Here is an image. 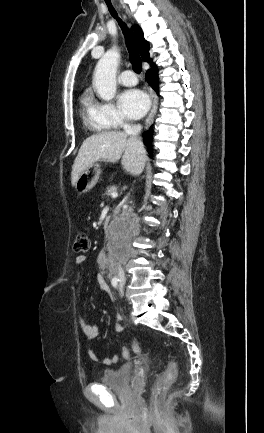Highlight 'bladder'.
<instances>
[{"mask_svg": "<svg viewBox=\"0 0 264 433\" xmlns=\"http://www.w3.org/2000/svg\"><path fill=\"white\" fill-rule=\"evenodd\" d=\"M131 365H124L118 369H105L100 376V383L116 392L126 393L130 389Z\"/></svg>", "mask_w": 264, "mask_h": 433, "instance_id": "bladder-1", "label": "bladder"}]
</instances>
